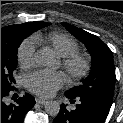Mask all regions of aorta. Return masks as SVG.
<instances>
[{
    "instance_id": "aorta-1",
    "label": "aorta",
    "mask_w": 123,
    "mask_h": 123,
    "mask_svg": "<svg viewBox=\"0 0 123 123\" xmlns=\"http://www.w3.org/2000/svg\"><path fill=\"white\" fill-rule=\"evenodd\" d=\"M34 59L38 65L43 67H49L54 64L52 55L45 51L38 52ZM45 111L51 116H57L60 111V104L57 101H48L45 104Z\"/></svg>"
}]
</instances>
